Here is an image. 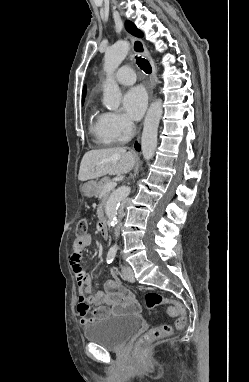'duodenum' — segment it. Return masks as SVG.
Masks as SVG:
<instances>
[{
    "instance_id": "1",
    "label": "duodenum",
    "mask_w": 249,
    "mask_h": 382,
    "mask_svg": "<svg viewBox=\"0 0 249 382\" xmlns=\"http://www.w3.org/2000/svg\"><path fill=\"white\" fill-rule=\"evenodd\" d=\"M98 229L102 237L107 238L109 236L108 225L105 218H100L98 222Z\"/></svg>"
}]
</instances>
